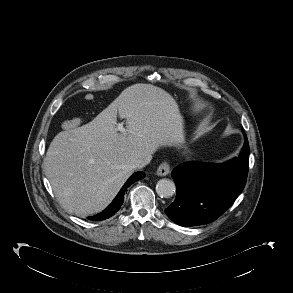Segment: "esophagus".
<instances>
[{
    "instance_id": "1",
    "label": "esophagus",
    "mask_w": 293,
    "mask_h": 293,
    "mask_svg": "<svg viewBox=\"0 0 293 293\" xmlns=\"http://www.w3.org/2000/svg\"><path fill=\"white\" fill-rule=\"evenodd\" d=\"M170 172V165L167 162H162L157 168L156 174L158 176H166Z\"/></svg>"
}]
</instances>
